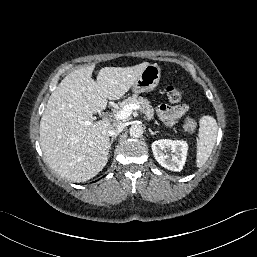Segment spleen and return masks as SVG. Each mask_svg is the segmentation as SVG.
<instances>
[{
  "mask_svg": "<svg viewBox=\"0 0 257 257\" xmlns=\"http://www.w3.org/2000/svg\"><path fill=\"white\" fill-rule=\"evenodd\" d=\"M199 124L196 155V166L198 168L202 167L210 157L218 132L217 122L212 116H202Z\"/></svg>",
  "mask_w": 257,
  "mask_h": 257,
  "instance_id": "1",
  "label": "spleen"
}]
</instances>
